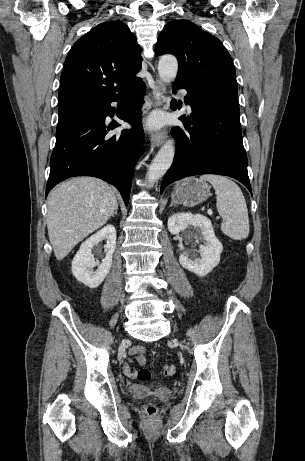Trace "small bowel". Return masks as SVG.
<instances>
[{"label": "small bowel", "mask_w": 305, "mask_h": 461, "mask_svg": "<svg viewBox=\"0 0 305 461\" xmlns=\"http://www.w3.org/2000/svg\"><path fill=\"white\" fill-rule=\"evenodd\" d=\"M145 352H146V348L143 347V346H135L131 350V355H132L133 359L141 366H144V365L147 364V360L144 357ZM123 372H124L125 376H127L129 378H135L137 376V371L132 366L131 362L124 364Z\"/></svg>", "instance_id": "small-bowel-1"}]
</instances>
